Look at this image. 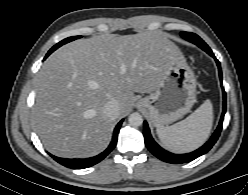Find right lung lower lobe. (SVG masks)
I'll list each match as a JSON object with an SVG mask.
<instances>
[{
  "label": "right lung lower lobe",
  "mask_w": 248,
  "mask_h": 195,
  "mask_svg": "<svg viewBox=\"0 0 248 195\" xmlns=\"http://www.w3.org/2000/svg\"><path fill=\"white\" fill-rule=\"evenodd\" d=\"M47 58V57H46ZM121 120L113 133V138L112 141L109 145V147L102 153H100L97 156L91 157V158H87V159H66V158H59L56 156L51 155L54 160H56L58 163L62 164L65 167L68 168H72V169H84V168H88L91 167L95 164H97L98 162H100L101 160H103L116 146L117 143V138H118V133L122 124Z\"/></svg>",
  "instance_id": "98d812e1"
}]
</instances>
